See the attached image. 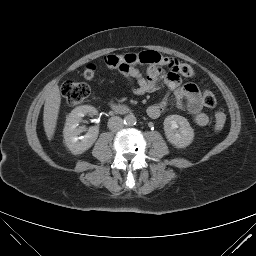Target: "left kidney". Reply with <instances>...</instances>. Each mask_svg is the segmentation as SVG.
<instances>
[{
  "label": "left kidney",
  "mask_w": 256,
  "mask_h": 256,
  "mask_svg": "<svg viewBox=\"0 0 256 256\" xmlns=\"http://www.w3.org/2000/svg\"><path fill=\"white\" fill-rule=\"evenodd\" d=\"M164 131L168 141L177 148H185L194 138V130L185 117L170 115L164 120Z\"/></svg>",
  "instance_id": "1"
}]
</instances>
